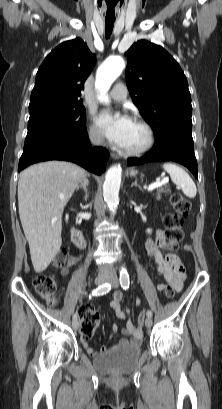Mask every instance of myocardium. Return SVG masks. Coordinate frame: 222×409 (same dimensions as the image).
Instances as JSON below:
<instances>
[{"label":"myocardium","mask_w":222,"mask_h":409,"mask_svg":"<svg viewBox=\"0 0 222 409\" xmlns=\"http://www.w3.org/2000/svg\"><path fill=\"white\" fill-rule=\"evenodd\" d=\"M134 123L140 125L146 132L147 139L145 144L136 149H128V148H122L121 151L123 154L128 155V156H142L146 154L148 151L151 150V148L155 144V132L153 127L144 119L136 117L133 120Z\"/></svg>","instance_id":"f54148a6"}]
</instances>
